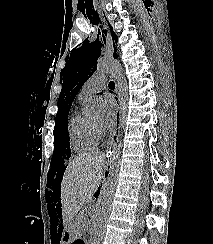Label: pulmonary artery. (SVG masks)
I'll use <instances>...</instances> for the list:
<instances>
[{"label":"pulmonary artery","instance_id":"pulmonary-artery-1","mask_svg":"<svg viewBox=\"0 0 213 244\" xmlns=\"http://www.w3.org/2000/svg\"><path fill=\"white\" fill-rule=\"evenodd\" d=\"M106 84V78L103 74H95L84 83L79 97L84 99L89 95L101 92L103 89H105Z\"/></svg>","mask_w":213,"mask_h":244}]
</instances>
